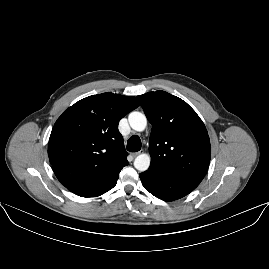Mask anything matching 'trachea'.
Returning a JSON list of instances; mask_svg holds the SVG:
<instances>
[{
	"instance_id": "1",
	"label": "trachea",
	"mask_w": 269,
	"mask_h": 269,
	"mask_svg": "<svg viewBox=\"0 0 269 269\" xmlns=\"http://www.w3.org/2000/svg\"><path fill=\"white\" fill-rule=\"evenodd\" d=\"M141 149V139L137 135H133L128 139L127 150L137 152Z\"/></svg>"
}]
</instances>
